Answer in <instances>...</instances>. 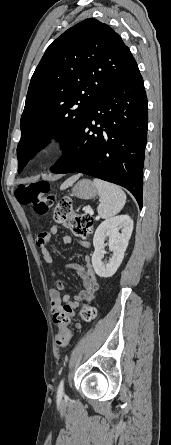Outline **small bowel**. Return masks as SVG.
<instances>
[{
  "mask_svg": "<svg viewBox=\"0 0 171 445\" xmlns=\"http://www.w3.org/2000/svg\"><path fill=\"white\" fill-rule=\"evenodd\" d=\"M58 232H59V227L51 226L48 231L40 233L36 239L37 246L41 249V253L45 263L50 266L53 264L54 258L52 252L48 248V244L52 241V238L58 234ZM71 241L72 238L70 236L63 237V242L65 244H68ZM83 246L87 248L88 244L83 243ZM84 259H85V265L71 264L68 266V269L74 271L79 276L84 287L83 290H81L75 295L73 300H71L70 295L63 294V291L65 290V285L59 279L54 269L50 267L51 276L56 282V288L51 289L49 292L51 301V311L53 316L65 311L66 309L75 311L79 308L80 303L91 302L94 299L98 291L99 285L96 279L95 272L91 265L90 256L86 255ZM76 326L79 328L80 324H77ZM67 331L69 333V340H70L71 332L68 328Z\"/></svg>",
  "mask_w": 171,
  "mask_h": 445,
  "instance_id": "1",
  "label": "small bowel"
}]
</instances>
